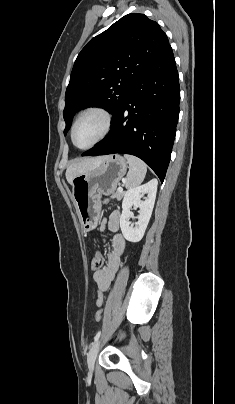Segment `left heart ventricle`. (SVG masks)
Masks as SVG:
<instances>
[{"label":"left heart ventricle","instance_id":"1","mask_svg":"<svg viewBox=\"0 0 235 404\" xmlns=\"http://www.w3.org/2000/svg\"><path fill=\"white\" fill-rule=\"evenodd\" d=\"M103 130V118L98 114L84 116L77 124L74 132L75 144L84 147L95 141Z\"/></svg>","mask_w":235,"mask_h":404}]
</instances>
